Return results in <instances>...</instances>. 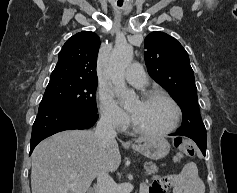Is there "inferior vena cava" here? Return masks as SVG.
<instances>
[{"label": "inferior vena cava", "mask_w": 237, "mask_h": 193, "mask_svg": "<svg viewBox=\"0 0 237 193\" xmlns=\"http://www.w3.org/2000/svg\"><path fill=\"white\" fill-rule=\"evenodd\" d=\"M95 136L100 146L105 147L110 139L117 136L113 119L108 115H102L97 122ZM98 193H116V183L106 170H102L97 175Z\"/></svg>", "instance_id": "1"}]
</instances>
